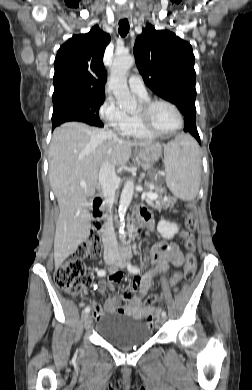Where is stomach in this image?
<instances>
[{"mask_svg": "<svg viewBox=\"0 0 252 390\" xmlns=\"http://www.w3.org/2000/svg\"><path fill=\"white\" fill-rule=\"evenodd\" d=\"M137 157L144 169H149L160 157L158 146L140 147L136 149Z\"/></svg>", "mask_w": 252, "mask_h": 390, "instance_id": "0dacf381", "label": "stomach"}]
</instances>
